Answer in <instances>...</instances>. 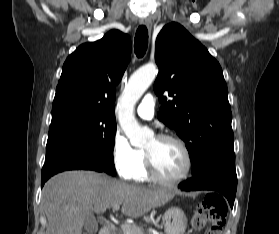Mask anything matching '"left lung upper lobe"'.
<instances>
[{
	"label": "left lung upper lobe",
	"mask_w": 279,
	"mask_h": 234,
	"mask_svg": "<svg viewBox=\"0 0 279 234\" xmlns=\"http://www.w3.org/2000/svg\"><path fill=\"white\" fill-rule=\"evenodd\" d=\"M159 74L154 91L162 105L158 119L184 141L192 175L219 161H233L234 135L227 85L217 60L178 23L156 39ZM168 91L172 100L163 96Z\"/></svg>",
	"instance_id": "obj_1"
}]
</instances>
